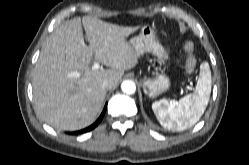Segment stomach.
Masks as SVG:
<instances>
[{
	"mask_svg": "<svg viewBox=\"0 0 249 165\" xmlns=\"http://www.w3.org/2000/svg\"><path fill=\"white\" fill-rule=\"evenodd\" d=\"M129 44L138 55L152 53L163 64L169 59L168 50L159 42L156 30L149 25L143 26L139 34L129 41ZM142 82L150 98H156L168 91L171 85L169 77L163 71L154 78H144Z\"/></svg>",
	"mask_w": 249,
	"mask_h": 165,
	"instance_id": "1",
	"label": "stomach"
}]
</instances>
